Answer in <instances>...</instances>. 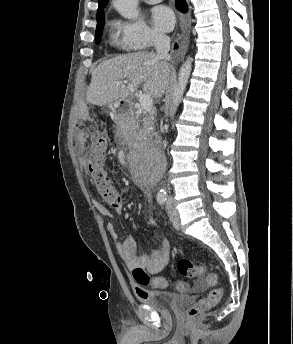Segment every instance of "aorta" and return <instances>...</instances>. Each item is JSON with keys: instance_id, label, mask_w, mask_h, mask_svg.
I'll use <instances>...</instances> for the list:
<instances>
[{"instance_id": "aorta-1", "label": "aorta", "mask_w": 293, "mask_h": 344, "mask_svg": "<svg viewBox=\"0 0 293 344\" xmlns=\"http://www.w3.org/2000/svg\"><path fill=\"white\" fill-rule=\"evenodd\" d=\"M114 6L118 13L124 18L135 20L138 17V0H114ZM192 70V58L188 57L179 70L178 82L174 86L172 93V106L170 108V116L173 117L182 100L190 74ZM160 193L165 194L164 189Z\"/></svg>"}]
</instances>
